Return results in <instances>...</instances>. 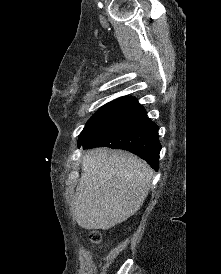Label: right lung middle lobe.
Listing matches in <instances>:
<instances>
[{
	"label": "right lung middle lobe",
	"mask_w": 221,
	"mask_h": 274,
	"mask_svg": "<svg viewBox=\"0 0 221 274\" xmlns=\"http://www.w3.org/2000/svg\"><path fill=\"white\" fill-rule=\"evenodd\" d=\"M129 100H115L101 107L87 122L78 140V145L90 141L109 124L116 120L132 103Z\"/></svg>",
	"instance_id": "right-lung-middle-lobe-1"
}]
</instances>
